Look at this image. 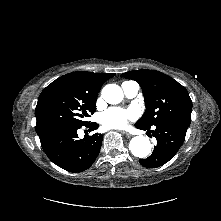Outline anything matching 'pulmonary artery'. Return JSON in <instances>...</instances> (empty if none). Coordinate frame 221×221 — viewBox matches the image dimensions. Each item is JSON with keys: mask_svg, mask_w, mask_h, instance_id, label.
Here are the masks:
<instances>
[{"mask_svg": "<svg viewBox=\"0 0 221 221\" xmlns=\"http://www.w3.org/2000/svg\"><path fill=\"white\" fill-rule=\"evenodd\" d=\"M122 89L126 97L134 98L138 94L139 85L134 81H128L122 84Z\"/></svg>", "mask_w": 221, "mask_h": 221, "instance_id": "1", "label": "pulmonary artery"}]
</instances>
